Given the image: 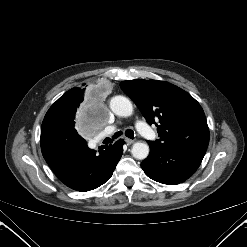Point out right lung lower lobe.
Listing matches in <instances>:
<instances>
[{"label":"right lung lower lobe","mask_w":247,"mask_h":247,"mask_svg":"<svg viewBox=\"0 0 247 247\" xmlns=\"http://www.w3.org/2000/svg\"><path fill=\"white\" fill-rule=\"evenodd\" d=\"M41 151L55 175L71 189L93 190L110 179L123 153L122 139L96 153L87 147L74 125L44 118Z\"/></svg>","instance_id":"obj_1"}]
</instances>
